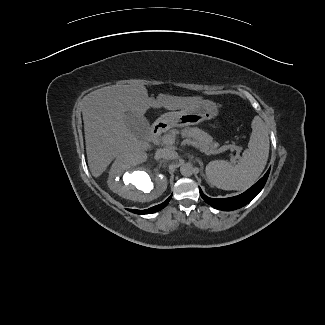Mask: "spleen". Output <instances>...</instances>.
Wrapping results in <instances>:
<instances>
[{
	"label": "spleen",
	"mask_w": 325,
	"mask_h": 325,
	"mask_svg": "<svg viewBox=\"0 0 325 325\" xmlns=\"http://www.w3.org/2000/svg\"><path fill=\"white\" fill-rule=\"evenodd\" d=\"M251 127L248 148L244 150L238 164L217 160L206 166L209 184L223 190H243L259 178L269 156L268 129L259 116L254 117Z\"/></svg>",
	"instance_id": "spleen-1"
}]
</instances>
